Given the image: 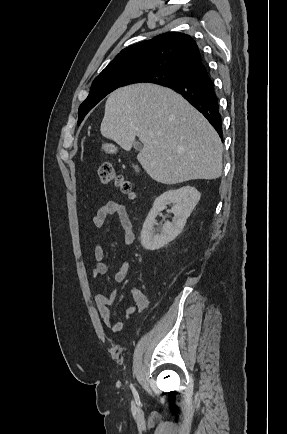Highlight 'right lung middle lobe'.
Returning a JSON list of instances; mask_svg holds the SVG:
<instances>
[{
	"mask_svg": "<svg viewBox=\"0 0 287 434\" xmlns=\"http://www.w3.org/2000/svg\"><path fill=\"white\" fill-rule=\"evenodd\" d=\"M181 77L180 74L170 73L159 70H147L136 74H121L104 77L93 81L90 93L86 100L79 107L78 124L84 116L105 96L115 89L135 83H154L163 85L174 83Z\"/></svg>",
	"mask_w": 287,
	"mask_h": 434,
	"instance_id": "dd1d6c3e",
	"label": "right lung middle lobe"
}]
</instances>
